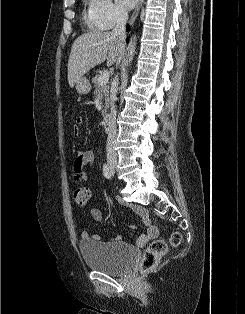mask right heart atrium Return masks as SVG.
Returning <instances> with one entry per match:
<instances>
[{"label": "right heart atrium", "mask_w": 245, "mask_h": 314, "mask_svg": "<svg viewBox=\"0 0 245 314\" xmlns=\"http://www.w3.org/2000/svg\"><path fill=\"white\" fill-rule=\"evenodd\" d=\"M89 17L95 29L106 31L122 24L126 12L112 0H90Z\"/></svg>", "instance_id": "right-heart-atrium-1"}]
</instances>
